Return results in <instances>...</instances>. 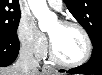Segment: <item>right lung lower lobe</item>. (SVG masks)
<instances>
[{"instance_id": "1", "label": "right lung lower lobe", "mask_w": 102, "mask_h": 75, "mask_svg": "<svg viewBox=\"0 0 102 75\" xmlns=\"http://www.w3.org/2000/svg\"><path fill=\"white\" fill-rule=\"evenodd\" d=\"M20 49L18 37H0V67L9 66L17 58Z\"/></svg>"}]
</instances>
